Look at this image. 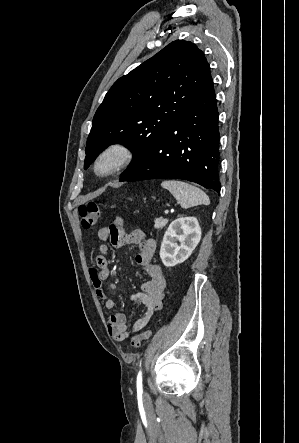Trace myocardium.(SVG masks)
<instances>
[{
    "instance_id": "obj_1",
    "label": "myocardium",
    "mask_w": 299,
    "mask_h": 443,
    "mask_svg": "<svg viewBox=\"0 0 299 443\" xmlns=\"http://www.w3.org/2000/svg\"><path fill=\"white\" fill-rule=\"evenodd\" d=\"M132 149L123 142H111L95 157L92 170L99 178H108L125 169L133 160Z\"/></svg>"
}]
</instances>
